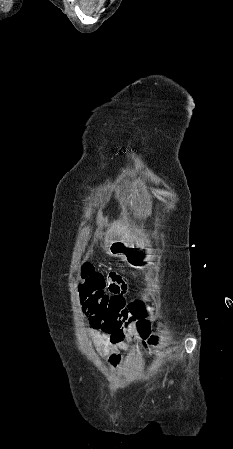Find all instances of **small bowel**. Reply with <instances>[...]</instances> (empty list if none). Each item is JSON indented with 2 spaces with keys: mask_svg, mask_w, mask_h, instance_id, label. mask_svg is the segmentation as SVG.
<instances>
[{
  "mask_svg": "<svg viewBox=\"0 0 233 449\" xmlns=\"http://www.w3.org/2000/svg\"><path fill=\"white\" fill-rule=\"evenodd\" d=\"M108 286L105 288L107 295L121 296L127 294L130 289V284L125 279V276L120 273V270H107L106 273ZM142 312L145 310H141ZM146 312V311H145ZM85 333L87 335L89 343L95 347L98 353L102 357H106L109 365L113 368L117 367L123 360L121 351L129 352L130 346L125 342V339L129 337V333L126 332V328H93L90 318L84 324ZM148 337L149 334H140L141 336ZM142 342L138 343L140 351L147 355L146 347H142Z\"/></svg>",
  "mask_w": 233,
  "mask_h": 449,
  "instance_id": "obj_1",
  "label": "small bowel"
}]
</instances>
